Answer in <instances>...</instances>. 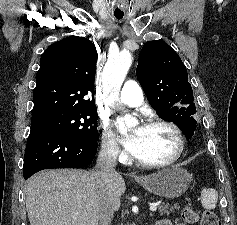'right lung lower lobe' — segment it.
<instances>
[{
  "mask_svg": "<svg viewBox=\"0 0 237 225\" xmlns=\"http://www.w3.org/2000/svg\"><path fill=\"white\" fill-rule=\"evenodd\" d=\"M98 141H84L67 134L31 129L27 142L23 176L49 168H82L94 159Z\"/></svg>",
  "mask_w": 237,
  "mask_h": 225,
  "instance_id": "98d812e1",
  "label": "right lung lower lobe"
}]
</instances>
